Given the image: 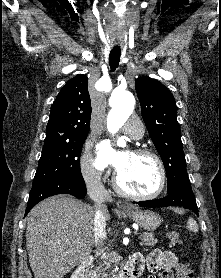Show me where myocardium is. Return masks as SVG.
Here are the masks:
<instances>
[{
    "label": "myocardium",
    "mask_w": 221,
    "mask_h": 278,
    "mask_svg": "<svg viewBox=\"0 0 221 278\" xmlns=\"http://www.w3.org/2000/svg\"><path fill=\"white\" fill-rule=\"evenodd\" d=\"M132 153H134L136 155L148 156L155 160V162L158 166V169H159V174H160L158 187L152 193L140 194V193L132 192L122 186V184L120 182L119 172L117 171L115 173V176L113 179V184H114L115 189L123 196L131 198V199L150 200V199H155V198L159 197L165 190L166 183H167V172H166V168H165V165H164L162 159L155 152H153L149 149H145V148H135V149H133Z\"/></svg>",
    "instance_id": "1"
}]
</instances>
